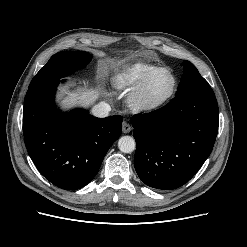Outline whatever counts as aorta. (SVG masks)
<instances>
[{
    "label": "aorta",
    "mask_w": 247,
    "mask_h": 247,
    "mask_svg": "<svg viewBox=\"0 0 247 247\" xmlns=\"http://www.w3.org/2000/svg\"><path fill=\"white\" fill-rule=\"evenodd\" d=\"M135 147V139L131 136H122L118 141V148L123 153H131Z\"/></svg>",
    "instance_id": "1"
}]
</instances>
